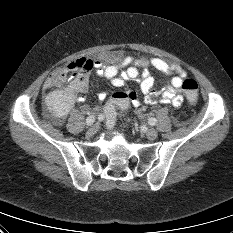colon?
Segmentation results:
<instances>
[{
  "label": "colon",
  "mask_w": 233,
  "mask_h": 233,
  "mask_svg": "<svg viewBox=\"0 0 233 233\" xmlns=\"http://www.w3.org/2000/svg\"><path fill=\"white\" fill-rule=\"evenodd\" d=\"M93 63L91 60L80 58L73 60L51 74V86L57 87L66 80H81L86 77ZM182 90L189 102L194 103L198 97V84L193 79L183 80ZM129 106V98L126 91L115 92L108 101L104 110V122L107 128L111 129L117 119L126 111Z\"/></svg>",
  "instance_id": "obj_1"
}]
</instances>
